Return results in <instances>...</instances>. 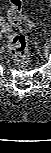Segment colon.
Listing matches in <instances>:
<instances>
[{
  "mask_svg": "<svg viewBox=\"0 0 51 153\" xmlns=\"http://www.w3.org/2000/svg\"><path fill=\"white\" fill-rule=\"evenodd\" d=\"M8 19L11 26L18 31H13L8 35V51L14 62L23 67L28 63V45L23 32L32 29V22L23 15L22 0H10Z\"/></svg>",
  "mask_w": 51,
  "mask_h": 153,
  "instance_id": "obj_1",
  "label": "colon"
}]
</instances>
